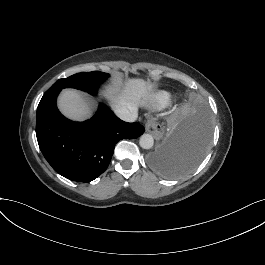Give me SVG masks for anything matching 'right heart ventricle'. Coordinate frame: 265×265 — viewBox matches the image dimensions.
<instances>
[{
    "mask_svg": "<svg viewBox=\"0 0 265 265\" xmlns=\"http://www.w3.org/2000/svg\"><path fill=\"white\" fill-rule=\"evenodd\" d=\"M160 99H161L162 101H166L167 96H165V95H161V96H160Z\"/></svg>",
    "mask_w": 265,
    "mask_h": 265,
    "instance_id": "obj_1",
    "label": "right heart ventricle"
}]
</instances>
